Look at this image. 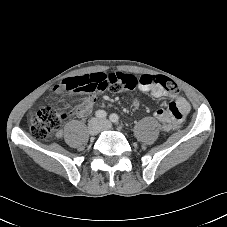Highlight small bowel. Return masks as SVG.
Listing matches in <instances>:
<instances>
[{"instance_id":"1","label":"small bowel","mask_w":227,"mask_h":227,"mask_svg":"<svg viewBox=\"0 0 227 227\" xmlns=\"http://www.w3.org/2000/svg\"><path fill=\"white\" fill-rule=\"evenodd\" d=\"M109 82L110 75L108 73H92L69 77L60 81L56 87L50 90V97L52 99L70 100L77 95V92H90L76 109L77 116L84 118L91 113L95 105V93L105 92ZM139 88L141 91L150 92L155 98H173V102L170 103L168 109H158L155 112V117L161 122L165 131H170L181 125L190 110V105L184 97L169 93L160 85H140Z\"/></svg>"}]
</instances>
